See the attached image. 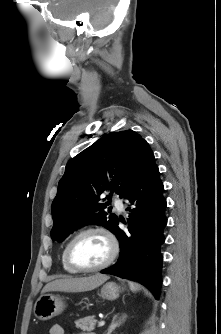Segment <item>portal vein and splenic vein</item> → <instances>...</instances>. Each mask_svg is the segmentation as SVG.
Segmentation results:
<instances>
[{"label": "portal vein and splenic vein", "mask_w": 221, "mask_h": 334, "mask_svg": "<svg viewBox=\"0 0 221 334\" xmlns=\"http://www.w3.org/2000/svg\"><path fill=\"white\" fill-rule=\"evenodd\" d=\"M105 325V321H100L99 323H98V326L99 327H102V326H104Z\"/></svg>", "instance_id": "18ae733b"}]
</instances>
